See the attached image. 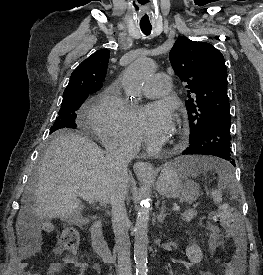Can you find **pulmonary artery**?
<instances>
[{"mask_svg":"<svg viewBox=\"0 0 263 275\" xmlns=\"http://www.w3.org/2000/svg\"><path fill=\"white\" fill-rule=\"evenodd\" d=\"M171 84L169 77L165 74L151 76L143 86V94L148 98H158L170 92Z\"/></svg>","mask_w":263,"mask_h":275,"instance_id":"pulmonary-artery-1","label":"pulmonary artery"}]
</instances>
